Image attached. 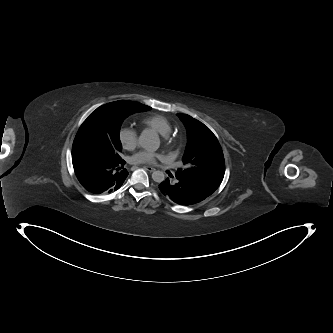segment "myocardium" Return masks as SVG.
<instances>
[{
	"label": "myocardium",
	"instance_id": "obj_1",
	"mask_svg": "<svg viewBox=\"0 0 333 333\" xmlns=\"http://www.w3.org/2000/svg\"><path fill=\"white\" fill-rule=\"evenodd\" d=\"M162 137V142L165 147H170L172 145V137L168 134H160Z\"/></svg>",
	"mask_w": 333,
	"mask_h": 333
}]
</instances>
